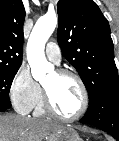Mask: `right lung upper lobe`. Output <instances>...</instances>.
<instances>
[{
  "instance_id": "cb5924a9",
  "label": "right lung upper lobe",
  "mask_w": 119,
  "mask_h": 141,
  "mask_svg": "<svg viewBox=\"0 0 119 141\" xmlns=\"http://www.w3.org/2000/svg\"><path fill=\"white\" fill-rule=\"evenodd\" d=\"M25 10L21 0H0V66H20Z\"/></svg>"
}]
</instances>
